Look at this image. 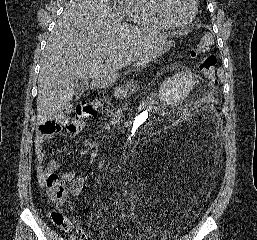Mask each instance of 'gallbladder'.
Listing matches in <instances>:
<instances>
[{"label": "gallbladder", "instance_id": "gallbladder-1", "mask_svg": "<svg viewBox=\"0 0 257 240\" xmlns=\"http://www.w3.org/2000/svg\"><path fill=\"white\" fill-rule=\"evenodd\" d=\"M88 85L89 83L85 79L76 80L74 88V95L76 99H79L82 96V94L87 90Z\"/></svg>", "mask_w": 257, "mask_h": 240}]
</instances>
